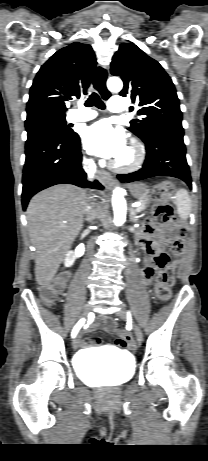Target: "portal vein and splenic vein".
<instances>
[{
  "label": "portal vein and splenic vein",
  "instance_id": "obj_1",
  "mask_svg": "<svg viewBox=\"0 0 208 461\" xmlns=\"http://www.w3.org/2000/svg\"><path fill=\"white\" fill-rule=\"evenodd\" d=\"M140 206H141V202H135V203L132 204V207L135 208L137 211H138Z\"/></svg>",
  "mask_w": 208,
  "mask_h": 461
}]
</instances>
